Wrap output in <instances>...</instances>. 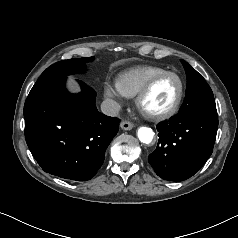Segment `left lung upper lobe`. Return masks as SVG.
<instances>
[{
	"instance_id": "5c2ea615",
	"label": "left lung upper lobe",
	"mask_w": 238,
	"mask_h": 238,
	"mask_svg": "<svg viewBox=\"0 0 238 238\" xmlns=\"http://www.w3.org/2000/svg\"><path fill=\"white\" fill-rule=\"evenodd\" d=\"M181 62L187 75V89L179 115L189 116L203 110L216 109L213 92L203 76L184 60Z\"/></svg>"
}]
</instances>
